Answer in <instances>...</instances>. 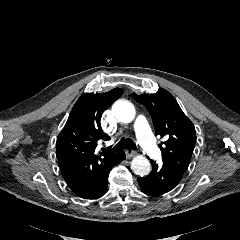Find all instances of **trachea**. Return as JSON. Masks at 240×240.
Listing matches in <instances>:
<instances>
[{
	"mask_svg": "<svg viewBox=\"0 0 240 240\" xmlns=\"http://www.w3.org/2000/svg\"><path fill=\"white\" fill-rule=\"evenodd\" d=\"M125 148L136 149V145L132 140L122 138L115 147L110 150H104V152L107 154H112Z\"/></svg>",
	"mask_w": 240,
	"mask_h": 240,
	"instance_id": "trachea-1",
	"label": "trachea"
}]
</instances>
